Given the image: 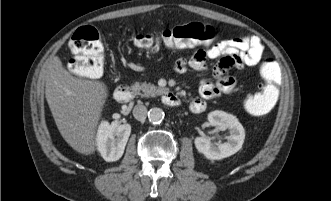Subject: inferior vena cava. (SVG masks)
<instances>
[{"label":"inferior vena cava","mask_w":331,"mask_h":201,"mask_svg":"<svg viewBox=\"0 0 331 201\" xmlns=\"http://www.w3.org/2000/svg\"><path fill=\"white\" fill-rule=\"evenodd\" d=\"M133 116L139 121H143L147 116V108L142 104H137L133 109Z\"/></svg>","instance_id":"1"}]
</instances>
